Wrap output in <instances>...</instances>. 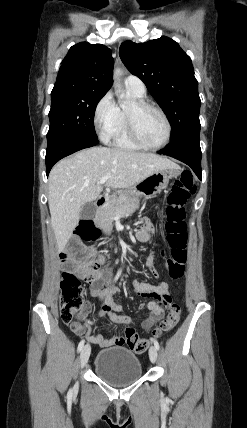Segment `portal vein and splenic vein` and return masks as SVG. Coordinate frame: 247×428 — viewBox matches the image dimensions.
Wrapping results in <instances>:
<instances>
[{
  "label": "portal vein and splenic vein",
  "instance_id": "obj_1",
  "mask_svg": "<svg viewBox=\"0 0 247 428\" xmlns=\"http://www.w3.org/2000/svg\"><path fill=\"white\" fill-rule=\"evenodd\" d=\"M109 177H110L109 175L103 176L100 180V185H103L104 183H106Z\"/></svg>",
  "mask_w": 247,
  "mask_h": 428
}]
</instances>
